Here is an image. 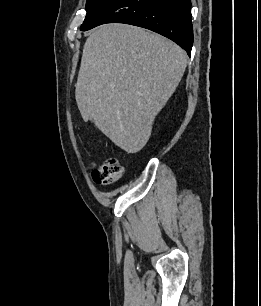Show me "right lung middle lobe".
Returning a JSON list of instances; mask_svg holds the SVG:
<instances>
[{
  "instance_id": "dd1d6c3e",
  "label": "right lung middle lobe",
  "mask_w": 261,
  "mask_h": 306,
  "mask_svg": "<svg viewBox=\"0 0 261 306\" xmlns=\"http://www.w3.org/2000/svg\"><path fill=\"white\" fill-rule=\"evenodd\" d=\"M113 0H87L86 17L80 29L89 25Z\"/></svg>"
}]
</instances>
